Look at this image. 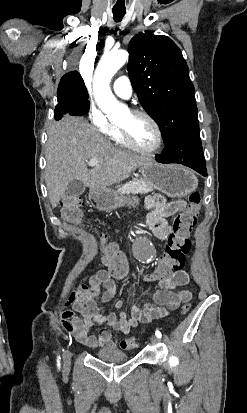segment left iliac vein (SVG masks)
I'll use <instances>...</instances> for the list:
<instances>
[{
  "label": "left iliac vein",
  "instance_id": "obj_1",
  "mask_svg": "<svg viewBox=\"0 0 247 413\" xmlns=\"http://www.w3.org/2000/svg\"><path fill=\"white\" fill-rule=\"evenodd\" d=\"M150 342H151L152 344H156V343H158V339H157V337H156V336H154V335H152V336L150 337Z\"/></svg>",
  "mask_w": 247,
  "mask_h": 413
}]
</instances>
